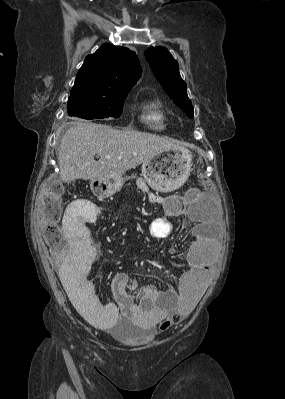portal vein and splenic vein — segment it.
Returning <instances> with one entry per match:
<instances>
[{"label": "portal vein and splenic vein", "instance_id": "portal-vein-and-splenic-vein-1", "mask_svg": "<svg viewBox=\"0 0 285 399\" xmlns=\"http://www.w3.org/2000/svg\"><path fill=\"white\" fill-rule=\"evenodd\" d=\"M106 158H108V159H109V158H110V156H106Z\"/></svg>", "mask_w": 285, "mask_h": 399}]
</instances>
